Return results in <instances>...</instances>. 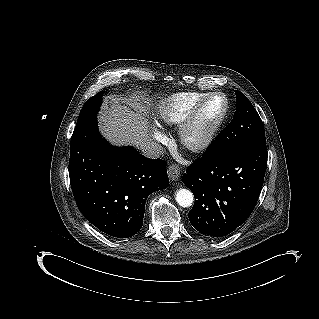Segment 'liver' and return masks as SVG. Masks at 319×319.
Listing matches in <instances>:
<instances>
[{
    "mask_svg": "<svg viewBox=\"0 0 319 319\" xmlns=\"http://www.w3.org/2000/svg\"><path fill=\"white\" fill-rule=\"evenodd\" d=\"M129 105L114 101L105 107L99 116L100 129L111 143L138 147L150 141L149 126L139 106Z\"/></svg>",
    "mask_w": 319,
    "mask_h": 319,
    "instance_id": "1",
    "label": "liver"
}]
</instances>
